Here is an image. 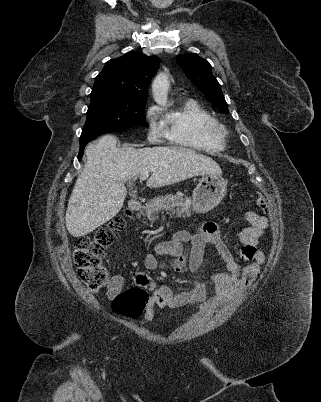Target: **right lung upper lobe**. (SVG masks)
I'll use <instances>...</instances> for the list:
<instances>
[{"instance_id":"right-lung-upper-lobe-1","label":"right lung upper lobe","mask_w":321,"mask_h":402,"mask_svg":"<svg viewBox=\"0 0 321 402\" xmlns=\"http://www.w3.org/2000/svg\"><path fill=\"white\" fill-rule=\"evenodd\" d=\"M159 63L157 56H147L136 51L109 60L97 75L92 92L146 101L147 87L157 72Z\"/></svg>"}]
</instances>
